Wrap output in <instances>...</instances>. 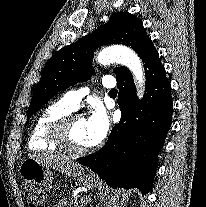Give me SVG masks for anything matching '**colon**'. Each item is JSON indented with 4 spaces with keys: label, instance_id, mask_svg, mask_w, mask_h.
<instances>
[{
    "label": "colon",
    "instance_id": "colon-1",
    "mask_svg": "<svg viewBox=\"0 0 206 207\" xmlns=\"http://www.w3.org/2000/svg\"><path fill=\"white\" fill-rule=\"evenodd\" d=\"M26 200L30 207H44V196L34 188L27 190Z\"/></svg>",
    "mask_w": 206,
    "mask_h": 207
}]
</instances>
